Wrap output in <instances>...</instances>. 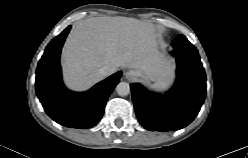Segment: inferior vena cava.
I'll list each match as a JSON object with an SVG mask.
<instances>
[{
  "mask_svg": "<svg viewBox=\"0 0 248 158\" xmlns=\"http://www.w3.org/2000/svg\"><path fill=\"white\" fill-rule=\"evenodd\" d=\"M99 74L102 77H106L111 74V69L108 66H103L99 69Z\"/></svg>",
  "mask_w": 248,
  "mask_h": 158,
  "instance_id": "inferior-vena-cava-1",
  "label": "inferior vena cava"
}]
</instances>
